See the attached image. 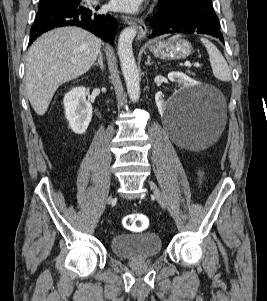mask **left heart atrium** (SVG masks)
Here are the masks:
<instances>
[{
  "label": "left heart atrium",
  "instance_id": "obj_1",
  "mask_svg": "<svg viewBox=\"0 0 267 301\" xmlns=\"http://www.w3.org/2000/svg\"><path fill=\"white\" fill-rule=\"evenodd\" d=\"M141 0H113L112 6L119 10L133 12L140 6Z\"/></svg>",
  "mask_w": 267,
  "mask_h": 301
}]
</instances>
